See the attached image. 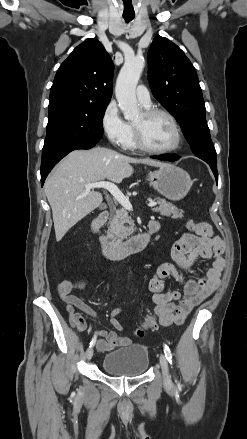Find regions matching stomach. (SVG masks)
Returning <instances> with one entry per match:
<instances>
[{
    "label": "stomach",
    "instance_id": "obj_1",
    "mask_svg": "<svg viewBox=\"0 0 247 439\" xmlns=\"http://www.w3.org/2000/svg\"><path fill=\"white\" fill-rule=\"evenodd\" d=\"M148 180L155 190L172 201L183 199L192 186L189 174L170 164L150 171Z\"/></svg>",
    "mask_w": 247,
    "mask_h": 439
}]
</instances>
